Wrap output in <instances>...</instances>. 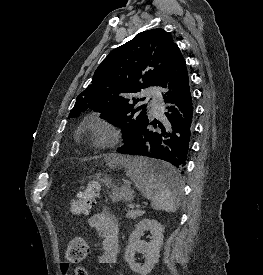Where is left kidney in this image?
Wrapping results in <instances>:
<instances>
[{"instance_id":"obj_1","label":"left kidney","mask_w":263,"mask_h":275,"mask_svg":"<svg viewBox=\"0 0 263 275\" xmlns=\"http://www.w3.org/2000/svg\"><path fill=\"white\" fill-rule=\"evenodd\" d=\"M147 230L151 233V241L148 243L140 240V237ZM163 230L162 225L157 220L143 219L136 225L125 250V260L133 272L147 275L158 263L160 248L163 243ZM136 252L145 254L146 261L143 265L135 262Z\"/></svg>"}]
</instances>
